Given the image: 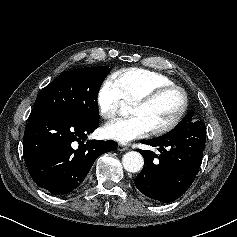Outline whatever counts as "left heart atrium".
I'll use <instances>...</instances> for the list:
<instances>
[{
	"mask_svg": "<svg viewBox=\"0 0 237 237\" xmlns=\"http://www.w3.org/2000/svg\"><path fill=\"white\" fill-rule=\"evenodd\" d=\"M103 131L106 137L120 143H127L145 136L150 130L140 116L132 115L106 124Z\"/></svg>",
	"mask_w": 237,
	"mask_h": 237,
	"instance_id": "1",
	"label": "left heart atrium"
}]
</instances>
